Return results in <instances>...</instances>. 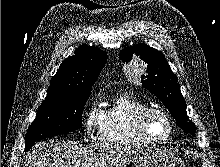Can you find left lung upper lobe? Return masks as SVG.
I'll list each match as a JSON object with an SVG mask.
<instances>
[{
  "label": "left lung upper lobe",
  "instance_id": "1",
  "mask_svg": "<svg viewBox=\"0 0 220 167\" xmlns=\"http://www.w3.org/2000/svg\"><path fill=\"white\" fill-rule=\"evenodd\" d=\"M133 54L147 63L146 74L142 75V87L152 92L166 106L171 116L186 133H195V125L186 113V102L182 96L177 77L170 69L162 52L147 46L136 44L124 48L120 52V59L128 62Z\"/></svg>",
  "mask_w": 220,
  "mask_h": 167
}]
</instances>
